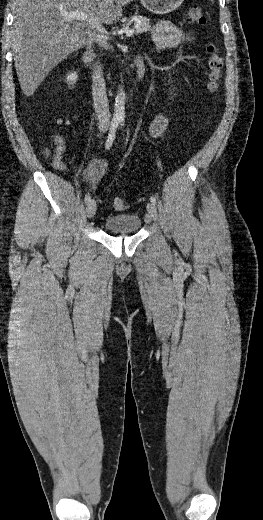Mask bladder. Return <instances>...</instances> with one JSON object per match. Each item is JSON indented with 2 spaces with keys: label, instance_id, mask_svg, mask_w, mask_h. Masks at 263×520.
Wrapping results in <instances>:
<instances>
[{
  "label": "bladder",
  "instance_id": "1",
  "mask_svg": "<svg viewBox=\"0 0 263 520\" xmlns=\"http://www.w3.org/2000/svg\"><path fill=\"white\" fill-rule=\"evenodd\" d=\"M142 220L136 213L108 215L104 219V229L111 234H133L140 230Z\"/></svg>",
  "mask_w": 263,
  "mask_h": 520
}]
</instances>
